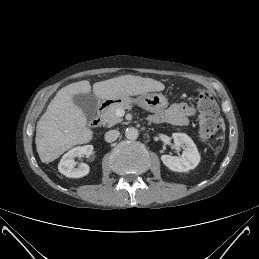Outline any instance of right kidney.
Masks as SVG:
<instances>
[{
	"label": "right kidney",
	"mask_w": 259,
	"mask_h": 259,
	"mask_svg": "<svg viewBox=\"0 0 259 259\" xmlns=\"http://www.w3.org/2000/svg\"><path fill=\"white\" fill-rule=\"evenodd\" d=\"M93 152L92 145H84L72 148L70 151L65 153L58 165V170L61 174L68 178H81L89 174L90 168L87 164L82 163L75 168V158L85 155L89 157Z\"/></svg>",
	"instance_id": "ca27d5eb"
}]
</instances>
